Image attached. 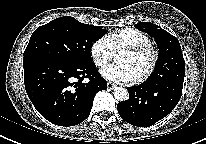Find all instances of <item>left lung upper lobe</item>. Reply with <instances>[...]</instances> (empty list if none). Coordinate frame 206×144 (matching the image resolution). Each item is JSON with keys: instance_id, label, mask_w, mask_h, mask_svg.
Here are the masks:
<instances>
[{"instance_id": "obj_1", "label": "left lung upper lobe", "mask_w": 206, "mask_h": 144, "mask_svg": "<svg viewBox=\"0 0 206 144\" xmlns=\"http://www.w3.org/2000/svg\"><path fill=\"white\" fill-rule=\"evenodd\" d=\"M136 27L152 35L159 48V57L152 75L145 83H158L170 71L185 69V61L177 38L150 22H139Z\"/></svg>"}]
</instances>
